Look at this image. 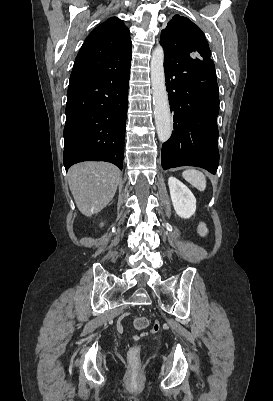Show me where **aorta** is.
Segmentation results:
<instances>
[{"label": "aorta", "instance_id": "762f6f07", "mask_svg": "<svg viewBox=\"0 0 273 401\" xmlns=\"http://www.w3.org/2000/svg\"><path fill=\"white\" fill-rule=\"evenodd\" d=\"M164 50L154 49L151 58V84L153 90L154 119L159 140L164 143L172 134L171 113L165 84Z\"/></svg>", "mask_w": 273, "mask_h": 401}]
</instances>
